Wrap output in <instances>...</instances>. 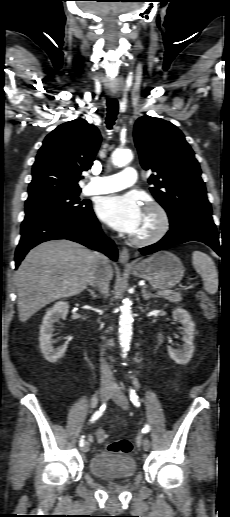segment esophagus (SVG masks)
<instances>
[{"label":"esophagus","instance_id":"34e87169","mask_svg":"<svg viewBox=\"0 0 230 517\" xmlns=\"http://www.w3.org/2000/svg\"><path fill=\"white\" fill-rule=\"evenodd\" d=\"M113 98H116L117 95L113 94ZM130 254L127 248L123 247L119 253V262L125 266H132V263L129 262Z\"/></svg>","mask_w":230,"mask_h":517}]
</instances>
